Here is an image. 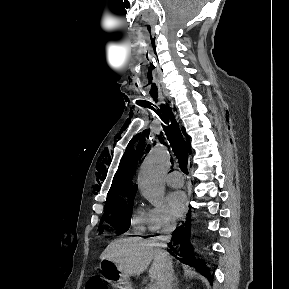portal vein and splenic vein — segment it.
<instances>
[{"mask_svg": "<svg viewBox=\"0 0 289 289\" xmlns=\"http://www.w3.org/2000/svg\"><path fill=\"white\" fill-rule=\"evenodd\" d=\"M149 289H158V288H157L156 284H154V285H151V286L149 287Z\"/></svg>", "mask_w": 289, "mask_h": 289, "instance_id": "obj_1", "label": "portal vein and splenic vein"}]
</instances>
